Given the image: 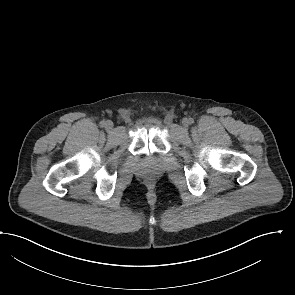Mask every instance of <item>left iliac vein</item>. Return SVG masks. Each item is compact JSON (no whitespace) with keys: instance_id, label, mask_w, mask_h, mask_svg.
I'll list each match as a JSON object with an SVG mask.
<instances>
[{"instance_id":"4c4485c4","label":"left iliac vein","mask_w":295,"mask_h":295,"mask_svg":"<svg viewBox=\"0 0 295 295\" xmlns=\"http://www.w3.org/2000/svg\"><path fill=\"white\" fill-rule=\"evenodd\" d=\"M189 119H187V118H184L183 120H182V125H183V127L184 128H187L188 126H189Z\"/></svg>"}]
</instances>
